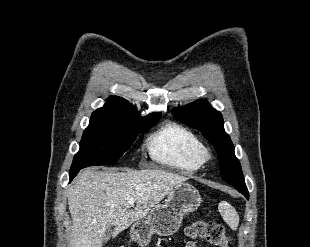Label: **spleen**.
Returning <instances> with one entry per match:
<instances>
[{
    "label": "spleen",
    "mask_w": 310,
    "mask_h": 247,
    "mask_svg": "<svg viewBox=\"0 0 310 247\" xmlns=\"http://www.w3.org/2000/svg\"><path fill=\"white\" fill-rule=\"evenodd\" d=\"M218 209L228 226L232 230H237L239 224V216L236 210L226 201L220 202Z\"/></svg>",
    "instance_id": "3e777b00"
}]
</instances>
